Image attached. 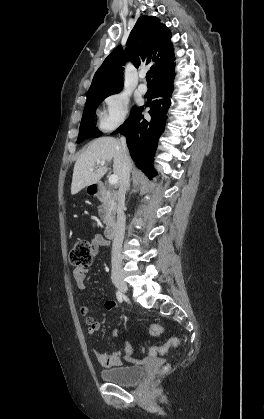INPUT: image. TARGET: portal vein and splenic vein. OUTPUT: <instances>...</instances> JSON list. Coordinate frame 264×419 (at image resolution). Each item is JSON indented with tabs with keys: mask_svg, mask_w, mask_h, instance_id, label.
I'll return each mask as SVG.
<instances>
[{
	"mask_svg": "<svg viewBox=\"0 0 264 419\" xmlns=\"http://www.w3.org/2000/svg\"><path fill=\"white\" fill-rule=\"evenodd\" d=\"M99 165H105V162L103 161V162H101V163H99ZM93 169H91V171H92ZM118 183V176L117 175H111L110 177H109V184H111V185H115V184H117Z\"/></svg>",
	"mask_w": 264,
	"mask_h": 419,
	"instance_id": "obj_1",
	"label": "portal vein and splenic vein"
}]
</instances>
